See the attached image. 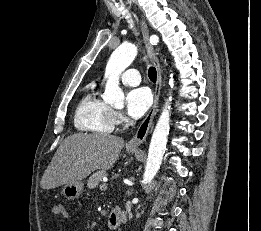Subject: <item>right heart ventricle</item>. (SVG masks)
Returning <instances> with one entry per match:
<instances>
[{"label":"right heart ventricle","mask_w":261,"mask_h":231,"mask_svg":"<svg viewBox=\"0 0 261 231\" xmlns=\"http://www.w3.org/2000/svg\"><path fill=\"white\" fill-rule=\"evenodd\" d=\"M114 112L95 90L89 91L78 103L74 125L77 130L90 133L109 134L115 127Z\"/></svg>","instance_id":"right-heart-ventricle-1"}]
</instances>
